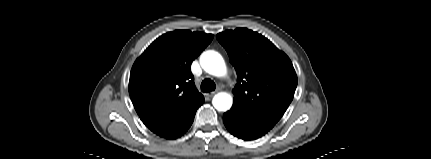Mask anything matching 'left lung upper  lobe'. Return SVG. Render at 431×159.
I'll return each instance as SVG.
<instances>
[{
	"mask_svg": "<svg viewBox=\"0 0 431 159\" xmlns=\"http://www.w3.org/2000/svg\"><path fill=\"white\" fill-rule=\"evenodd\" d=\"M237 73L232 109L275 125L291 103L297 76L288 56L267 38L237 28L217 34Z\"/></svg>",
	"mask_w": 431,
	"mask_h": 159,
	"instance_id": "obj_1",
	"label": "left lung upper lobe"
}]
</instances>
